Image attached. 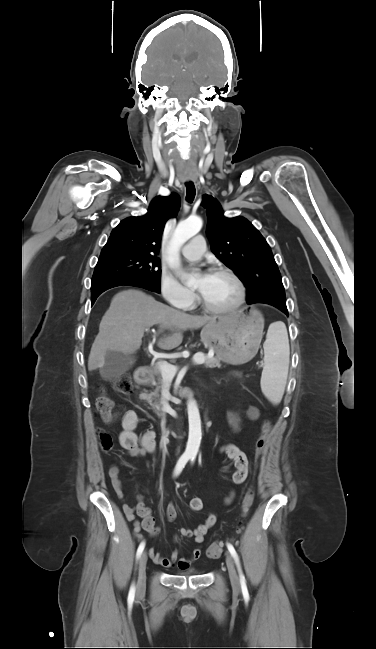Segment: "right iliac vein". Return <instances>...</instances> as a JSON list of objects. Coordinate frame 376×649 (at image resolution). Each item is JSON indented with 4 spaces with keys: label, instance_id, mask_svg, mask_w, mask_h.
Instances as JSON below:
<instances>
[{
    "label": "right iliac vein",
    "instance_id": "1",
    "mask_svg": "<svg viewBox=\"0 0 376 649\" xmlns=\"http://www.w3.org/2000/svg\"><path fill=\"white\" fill-rule=\"evenodd\" d=\"M146 563H147V555L146 552H144L140 556L139 564H138V580H137L138 593H142L146 586Z\"/></svg>",
    "mask_w": 376,
    "mask_h": 649
}]
</instances>
